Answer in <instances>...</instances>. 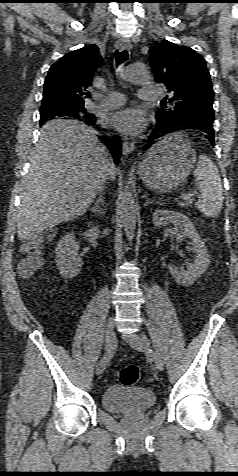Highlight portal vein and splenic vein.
Wrapping results in <instances>:
<instances>
[{
    "mask_svg": "<svg viewBox=\"0 0 238 476\" xmlns=\"http://www.w3.org/2000/svg\"><path fill=\"white\" fill-rule=\"evenodd\" d=\"M195 195V192L194 193H190V194H187V193H183L180 195L179 199L181 200H185V199H188L190 197H193Z\"/></svg>",
    "mask_w": 238,
    "mask_h": 476,
    "instance_id": "1",
    "label": "portal vein and splenic vein"
}]
</instances>
